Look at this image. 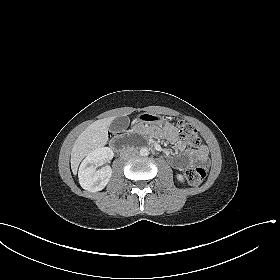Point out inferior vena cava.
<instances>
[{
    "instance_id": "obj_1",
    "label": "inferior vena cava",
    "mask_w": 280,
    "mask_h": 280,
    "mask_svg": "<svg viewBox=\"0 0 280 280\" xmlns=\"http://www.w3.org/2000/svg\"><path fill=\"white\" fill-rule=\"evenodd\" d=\"M137 154H138V151L135 148L126 147L122 150L121 157L124 158V159H128V158H131V157H133Z\"/></svg>"
}]
</instances>
